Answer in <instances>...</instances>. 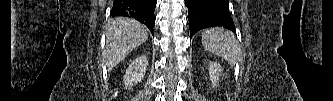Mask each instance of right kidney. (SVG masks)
Returning <instances> with one entry per match:
<instances>
[{
    "instance_id": "right-kidney-1",
    "label": "right kidney",
    "mask_w": 333,
    "mask_h": 101,
    "mask_svg": "<svg viewBox=\"0 0 333 101\" xmlns=\"http://www.w3.org/2000/svg\"><path fill=\"white\" fill-rule=\"evenodd\" d=\"M147 65L148 61L146 55L137 57L129 64L125 75L123 76V82L126 89H130L133 85H136L143 79Z\"/></svg>"
}]
</instances>
